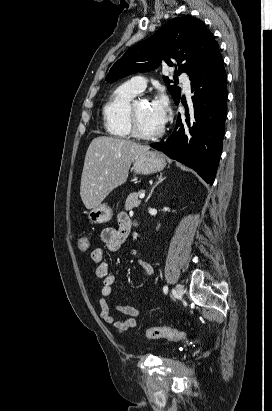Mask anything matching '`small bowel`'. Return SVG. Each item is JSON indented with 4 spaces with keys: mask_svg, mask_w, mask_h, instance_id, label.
<instances>
[{
    "mask_svg": "<svg viewBox=\"0 0 272 411\" xmlns=\"http://www.w3.org/2000/svg\"><path fill=\"white\" fill-rule=\"evenodd\" d=\"M132 226V221L126 215H121L118 218V228H104L101 231L100 238L107 250L110 252H118L129 236ZM129 253L135 258L136 263L144 276H150L153 273V266L150 261L140 258L137 251L134 249H129ZM91 258L96 264V276L102 281L101 298L99 299L100 316L102 320L119 331L136 329L139 326L136 318L141 315V310L139 308L130 305L117 304L115 306L116 311L126 316L125 319L118 320L113 315L108 305L107 298L113 293L116 278L109 272L108 264L105 261L104 250L102 248L94 249L91 252Z\"/></svg>",
    "mask_w": 272,
    "mask_h": 411,
    "instance_id": "c3829d8e",
    "label": "small bowel"
}]
</instances>
